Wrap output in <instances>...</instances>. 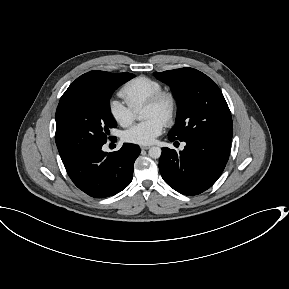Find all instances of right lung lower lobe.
I'll list each match as a JSON object with an SVG mask.
<instances>
[{"instance_id":"obj_1","label":"right lung lower lobe","mask_w":289,"mask_h":289,"mask_svg":"<svg viewBox=\"0 0 289 289\" xmlns=\"http://www.w3.org/2000/svg\"><path fill=\"white\" fill-rule=\"evenodd\" d=\"M97 146L64 164L73 183L95 198H105L125 189L132 181L133 166L140 148L125 143L116 152L102 151Z\"/></svg>"}]
</instances>
